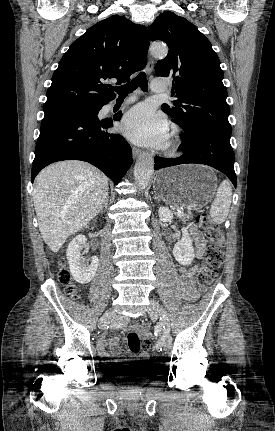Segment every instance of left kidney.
I'll return each mask as SVG.
<instances>
[{
    "instance_id": "5707ae66",
    "label": "left kidney",
    "mask_w": 275,
    "mask_h": 431,
    "mask_svg": "<svg viewBox=\"0 0 275 431\" xmlns=\"http://www.w3.org/2000/svg\"><path fill=\"white\" fill-rule=\"evenodd\" d=\"M159 218L162 222H169L173 218L172 212L167 207H160ZM182 239L173 248L175 259L182 265H190L195 257L192 239L186 228H182Z\"/></svg>"
}]
</instances>
